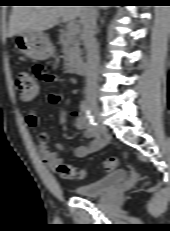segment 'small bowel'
Segmentation results:
<instances>
[{
    "instance_id": "obj_1",
    "label": "small bowel",
    "mask_w": 170,
    "mask_h": 231,
    "mask_svg": "<svg viewBox=\"0 0 170 231\" xmlns=\"http://www.w3.org/2000/svg\"><path fill=\"white\" fill-rule=\"evenodd\" d=\"M30 74L37 81H53L56 78L49 74L46 67L41 63H36L32 66ZM60 100V96L53 94L50 96V101L52 103H57ZM74 116V126L77 130H80L84 133L85 137L90 139V142L86 145H80L74 150V155L77 158H83L87 155L96 152L101 149L105 142L99 137L97 138L92 131L89 130L86 121L79 112H73ZM26 122L28 126L34 131H38L40 127V119L37 114L33 111L29 112L26 116ZM37 147L38 152L41 157L43 164L51 171L56 170L60 164H62V159L59 157L56 151H53L48 146V137L43 132H38L37 134ZM56 148L61 150L64 148L63 144H57Z\"/></svg>"
}]
</instances>
